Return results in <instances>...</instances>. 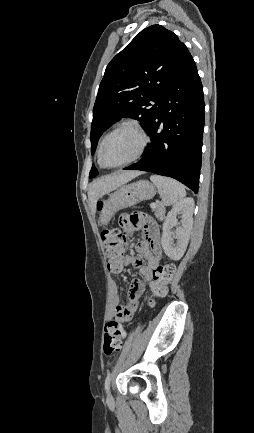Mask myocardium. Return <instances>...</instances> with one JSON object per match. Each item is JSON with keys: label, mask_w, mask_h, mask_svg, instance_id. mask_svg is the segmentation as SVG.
<instances>
[{"label": "myocardium", "mask_w": 254, "mask_h": 433, "mask_svg": "<svg viewBox=\"0 0 254 433\" xmlns=\"http://www.w3.org/2000/svg\"><path fill=\"white\" fill-rule=\"evenodd\" d=\"M123 128L133 129L140 136V138H141L140 148L137 151V153L132 158H130L129 160H127L121 164H118V165H107L103 162V158H102L103 147L111 135H113L114 133H116L117 131H119ZM149 141L150 140H149L147 133L144 131V129L141 127V125L138 122L132 121V120L124 121V122L120 123L119 125H117L109 133H107L106 136L102 139L100 146H99V149H98V162L102 167L107 168V169H115V168L125 167L129 164L136 162L138 159H140L142 157V155L145 153V151L149 145Z\"/></svg>", "instance_id": "f54148a6"}]
</instances>
